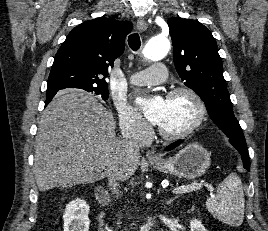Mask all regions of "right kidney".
Returning a JSON list of instances; mask_svg holds the SVG:
<instances>
[{
  "mask_svg": "<svg viewBox=\"0 0 268 231\" xmlns=\"http://www.w3.org/2000/svg\"><path fill=\"white\" fill-rule=\"evenodd\" d=\"M89 210V205L81 199L73 200L67 204L63 215L64 231H88L90 225Z\"/></svg>",
  "mask_w": 268,
  "mask_h": 231,
  "instance_id": "right-kidney-1",
  "label": "right kidney"
}]
</instances>
